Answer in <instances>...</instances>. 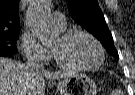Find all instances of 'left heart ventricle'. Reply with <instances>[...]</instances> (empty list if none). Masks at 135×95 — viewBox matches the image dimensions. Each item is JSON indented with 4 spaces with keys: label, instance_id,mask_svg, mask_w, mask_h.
<instances>
[{
    "label": "left heart ventricle",
    "instance_id": "1",
    "mask_svg": "<svg viewBox=\"0 0 135 95\" xmlns=\"http://www.w3.org/2000/svg\"><path fill=\"white\" fill-rule=\"evenodd\" d=\"M50 47L60 60L68 64L91 65L99 59L96 45L84 35H76L68 40H63L60 35Z\"/></svg>",
    "mask_w": 135,
    "mask_h": 95
}]
</instances>
